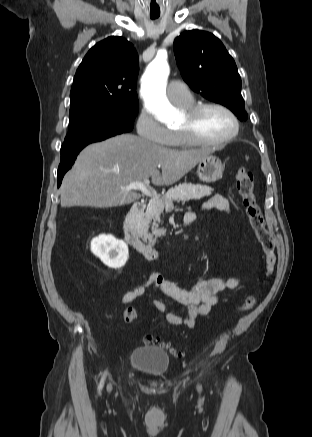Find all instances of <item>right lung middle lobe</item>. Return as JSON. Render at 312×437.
<instances>
[{
  "instance_id": "obj_1",
  "label": "right lung middle lobe",
  "mask_w": 312,
  "mask_h": 437,
  "mask_svg": "<svg viewBox=\"0 0 312 437\" xmlns=\"http://www.w3.org/2000/svg\"><path fill=\"white\" fill-rule=\"evenodd\" d=\"M137 113L138 103L94 102L71 107L69 131L61 147V153L130 132Z\"/></svg>"
}]
</instances>
